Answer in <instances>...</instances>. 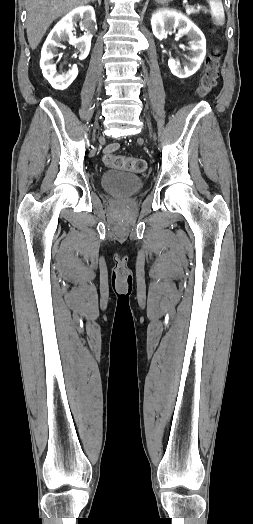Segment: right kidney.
I'll use <instances>...</instances> for the list:
<instances>
[{"instance_id": "ca27d5eb", "label": "right kidney", "mask_w": 253, "mask_h": 524, "mask_svg": "<svg viewBox=\"0 0 253 524\" xmlns=\"http://www.w3.org/2000/svg\"><path fill=\"white\" fill-rule=\"evenodd\" d=\"M77 23H80L85 30V35L80 38H76L72 33L73 25ZM96 30L95 11L91 6L74 9L54 26L43 45L40 60L43 76L53 88L65 90L78 75L76 65H73L66 73H57L53 58L57 47L61 45L60 42L68 41L74 45L77 48L79 59L84 60L89 54L91 39Z\"/></svg>"}]
</instances>
